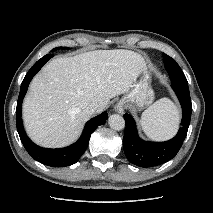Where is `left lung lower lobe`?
<instances>
[{
  "mask_svg": "<svg viewBox=\"0 0 213 213\" xmlns=\"http://www.w3.org/2000/svg\"><path fill=\"white\" fill-rule=\"evenodd\" d=\"M183 111V118L177 135L165 142H146L139 138L133 117L124 114L126 128L123 148L128 160L140 167H152L174 158L180 150L190 124L192 104L188 87L172 84Z\"/></svg>",
  "mask_w": 213,
  "mask_h": 213,
  "instance_id": "1",
  "label": "left lung lower lobe"
}]
</instances>
